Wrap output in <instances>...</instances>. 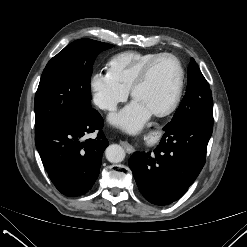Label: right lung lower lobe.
<instances>
[{
  "label": "right lung lower lobe",
  "mask_w": 247,
  "mask_h": 247,
  "mask_svg": "<svg viewBox=\"0 0 247 247\" xmlns=\"http://www.w3.org/2000/svg\"><path fill=\"white\" fill-rule=\"evenodd\" d=\"M101 115L92 109L82 117L69 120L35 135L42 163L55 187L66 196L88 192L99 175L101 158L108 146ZM98 132L96 139L82 137Z\"/></svg>",
  "instance_id": "obj_1"
}]
</instances>
